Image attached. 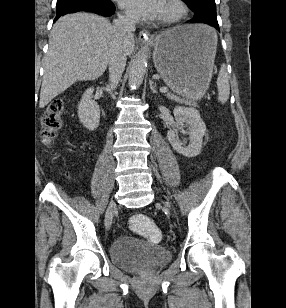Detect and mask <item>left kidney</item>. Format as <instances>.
<instances>
[{"mask_svg":"<svg viewBox=\"0 0 286 308\" xmlns=\"http://www.w3.org/2000/svg\"><path fill=\"white\" fill-rule=\"evenodd\" d=\"M173 113L177 126L167 133L169 143L174 150L186 157L197 156L201 152L203 136L206 132V126L199 111L192 107L177 106ZM185 123L188 130L185 133L189 136V145H186L177 136L178 131L182 129Z\"/></svg>","mask_w":286,"mask_h":308,"instance_id":"1","label":"left kidney"}]
</instances>
